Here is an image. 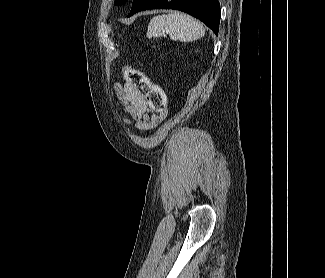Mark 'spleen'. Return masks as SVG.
<instances>
[{"instance_id":"3e777b00","label":"spleen","mask_w":325,"mask_h":278,"mask_svg":"<svg viewBox=\"0 0 325 278\" xmlns=\"http://www.w3.org/2000/svg\"><path fill=\"white\" fill-rule=\"evenodd\" d=\"M166 34L173 41L190 42L203 37L205 29L200 22L182 13L158 15L152 18L147 29L148 38Z\"/></svg>"}]
</instances>
